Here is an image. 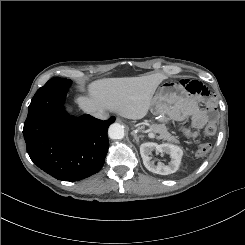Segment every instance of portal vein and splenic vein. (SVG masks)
<instances>
[{"mask_svg":"<svg viewBox=\"0 0 245 245\" xmlns=\"http://www.w3.org/2000/svg\"><path fill=\"white\" fill-rule=\"evenodd\" d=\"M148 136H149L150 138H155V135L151 132V130L148 131Z\"/></svg>","mask_w":245,"mask_h":245,"instance_id":"18ae733b","label":"portal vein and splenic vein"}]
</instances>
